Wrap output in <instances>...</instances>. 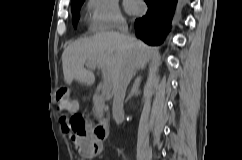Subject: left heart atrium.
<instances>
[{
  "label": "left heart atrium",
  "instance_id": "obj_1",
  "mask_svg": "<svg viewBox=\"0 0 242 160\" xmlns=\"http://www.w3.org/2000/svg\"><path fill=\"white\" fill-rule=\"evenodd\" d=\"M125 7L130 13H139L142 10V4L138 0H125Z\"/></svg>",
  "mask_w": 242,
  "mask_h": 160
}]
</instances>
